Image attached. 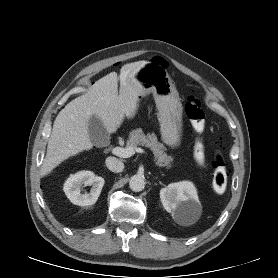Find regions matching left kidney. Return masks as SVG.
<instances>
[{
    "label": "left kidney",
    "instance_id": "5707ae66",
    "mask_svg": "<svg viewBox=\"0 0 278 278\" xmlns=\"http://www.w3.org/2000/svg\"><path fill=\"white\" fill-rule=\"evenodd\" d=\"M160 199L165 210L179 224H193L200 216L201 204L196 188L190 181L171 183L162 188Z\"/></svg>",
    "mask_w": 278,
    "mask_h": 278
}]
</instances>
